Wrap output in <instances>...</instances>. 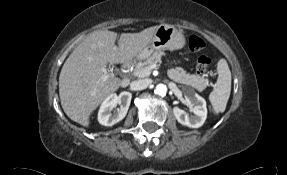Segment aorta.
I'll list each match as a JSON object with an SVG mask.
<instances>
[{
	"instance_id": "762f6f07",
	"label": "aorta",
	"mask_w": 287,
	"mask_h": 175,
	"mask_svg": "<svg viewBox=\"0 0 287 175\" xmlns=\"http://www.w3.org/2000/svg\"><path fill=\"white\" fill-rule=\"evenodd\" d=\"M155 93L160 96H165L167 93V87L164 84H158L155 88Z\"/></svg>"
}]
</instances>
